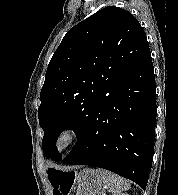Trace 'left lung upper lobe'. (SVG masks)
<instances>
[{"mask_svg": "<svg viewBox=\"0 0 178 195\" xmlns=\"http://www.w3.org/2000/svg\"><path fill=\"white\" fill-rule=\"evenodd\" d=\"M149 54L139 22L116 6L99 10L66 33L40 93L38 116L46 158L61 160L56 148L60 133L73 128L79 140L100 104Z\"/></svg>", "mask_w": 178, "mask_h": 195, "instance_id": "obj_1", "label": "left lung upper lobe"}]
</instances>
